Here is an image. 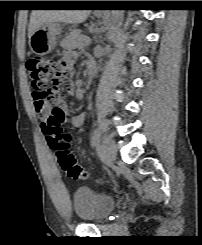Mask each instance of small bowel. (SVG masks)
Returning <instances> with one entry per match:
<instances>
[{
	"mask_svg": "<svg viewBox=\"0 0 202 245\" xmlns=\"http://www.w3.org/2000/svg\"><path fill=\"white\" fill-rule=\"evenodd\" d=\"M75 59L76 56L69 51L64 52L60 59V61L63 63V66L68 69L69 73L73 72ZM87 64H92L94 66L92 62H88ZM66 88L69 94L73 95L75 93V87L72 83L67 82ZM54 109L65 117H68L70 115L69 108L64 100H58ZM34 111L36 113V116H38V118L45 119V120L47 119L48 114L44 111V107L43 106L37 107L35 102H34ZM84 120H85V114H80L78 116L71 118V122L75 126H80L84 122ZM42 131L45 133L44 127H42Z\"/></svg>",
	"mask_w": 202,
	"mask_h": 245,
	"instance_id": "small-bowel-1",
	"label": "small bowel"
}]
</instances>
